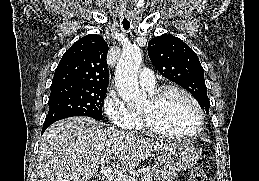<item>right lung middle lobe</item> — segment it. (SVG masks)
<instances>
[{
    "label": "right lung middle lobe",
    "instance_id": "obj_1",
    "mask_svg": "<svg viewBox=\"0 0 259 181\" xmlns=\"http://www.w3.org/2000/svg\"><path fill=\"white\" fill-rule=\"evenodd\" d=\"M107 88L83 86L51 87L49 111L43 126L72 116L102 119V107Z\"/></svg>",
    "mask_w": 259,
    "mask_h": 181
}]
</instances>
